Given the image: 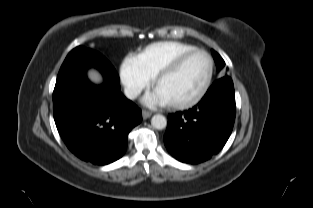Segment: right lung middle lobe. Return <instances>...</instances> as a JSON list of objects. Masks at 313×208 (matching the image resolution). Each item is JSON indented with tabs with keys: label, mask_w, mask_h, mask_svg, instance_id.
Segmentation results:
<instances>
[{
	"label": "right lung middle lobe",
	"mask_w": 313,
	"mask_h": 208,
	"mask_svg": "<svg viewBox=\"0 0 313 208\" xmlns=\"http://www.w3.org/2000/svg\"><path fill=\"white\" fill-rule=\"evenodd\" d=\"M79 47H81V46H79ZM79 47H76L75 49H78Z\"/></svg>",
	"instance_id": "right-lung-middle-lobe-1"
}]
</instances>
